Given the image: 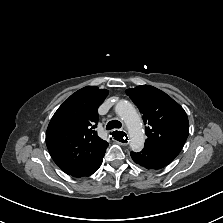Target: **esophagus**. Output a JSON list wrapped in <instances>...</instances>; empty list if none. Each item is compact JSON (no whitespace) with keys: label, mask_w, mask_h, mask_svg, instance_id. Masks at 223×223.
Returning a JSON list of instances; mask_svg holds the SVG:
<instances>
[{"label":"esophagus","mask_w":223,"mask_h":223,"mask_svg":"<svg viewBox=\"0 0 223 223\" xmlns=\"http://www.w3.org/2000/svg\"><path fill=\"white\" fill-rule=\"evenodd\" d=\"M112 139L122 145H127L128 142H129V138H128V134L126 133V131H120V130H117V129H114L112 132H111V135Z\"/></svg>","instance_id":"obj_1"}]
</instances>
